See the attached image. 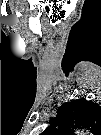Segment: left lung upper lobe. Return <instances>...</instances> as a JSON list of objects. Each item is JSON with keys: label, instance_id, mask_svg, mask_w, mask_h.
I'll return each instance as SVG.
<instances>
[{"label": "left lung upper lobe", "instance_id": "obj_1", "mask_svg": "<svg viewBox=\"0 0 101 135\" xmlns=\"http://www.w3.org/2000/svg\"><path fill=\"white\" fill-rule=\"evenodd\" d=\"M83 108H85L84 100L72 101V103L68 102L59 107L58 115L60 117L66 116L67 120H73L74 118L77 120V118L79 119L84 115Z\"/></svg>", "mask_w": 101, "mask_h": 135}]
</instances>
